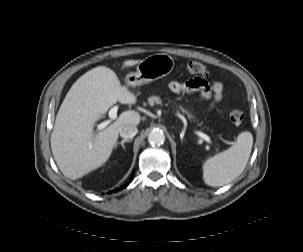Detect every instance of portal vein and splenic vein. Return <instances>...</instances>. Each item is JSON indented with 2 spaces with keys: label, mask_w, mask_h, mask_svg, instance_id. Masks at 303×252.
Instances as JSON below:
<instances>
[{
  "label": "portal vein and splenic vein",
  "mask_w": 303,
  "mask_h": 252,
  "mask_svg": "<svg viewBox=\"0 0 303 252\" xmlns=\"http://www.w3.org/2000/svg\"><path fill=\"white\" fill-rule=\"evenodd\" d=\"M117 110H118L117 106H114L113 108H111L110 111H109L110 120H106V121L100 123L97 126V129L98 130L104 129L112 120L116 119L117 118ZM197 135L200 136L201 138H203L204 140H206L208 143H211V138L208 135H206L202 132H197Z\"/></svg>",
  "instance_id": "obj_1"
}]
</instances>
